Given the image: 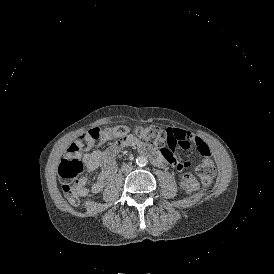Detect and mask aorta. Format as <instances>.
<instances>
[{"label":"aorta","mask_w":274,"mask_h":274,"mask_svg":"<svg viewBox=\"0 0 274 274\" xmlns=\"http://www.w3.org/2000/svg\"><path fill=\"white\" fill-rule=\"evenodd\" d=\"M136 164L140 167H144L148 164V159L145 156H139L136 159Z\"/></svg>","instance_id":"762f6f07"}]
</instances>
